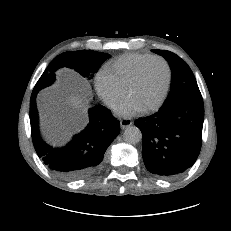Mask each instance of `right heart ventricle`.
Returning <instances> with one entry per match:
<instances>
[{
  "instance_id": "obj_1",
  "label": "right heart ventricle",
  "mask_w": 231,
  "mask_h": 231,
  "mask_svg": "<svg viewBox=\"0 0 231 231\" xmlns=\"http://www.w3.org/2000/svg\"><path fill=\"white\" fill-rule=\"evenodd\" d=\"M150 56L143 53H127L107 63L104 69L126 90L137 67Z\"/></svg>"
}]
</instances>
